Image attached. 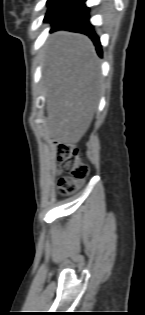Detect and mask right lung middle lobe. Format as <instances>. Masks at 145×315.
<instances>
[{"mask_svg":"<svg viewBox=\"0 0 145 315\" xmlns=\"http://www.w3.org/2000/svg\"><path fill=\"white\" fill-rule=\"evenodd\" d=\"M67 0H48V11L45 15L44 22H49L54 15L61 9Z\"/></svg>","mask_w":145,"mask_h":315,"instance_id":"right-lung-middle-lobe-1","label":"right lung middle lobe"}]
</instances>
